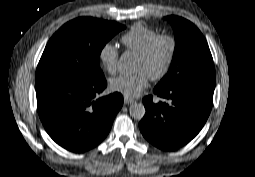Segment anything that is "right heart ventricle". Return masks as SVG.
I'll list each match as a JSON object with an SVG mask.
<instances>
[{"label": "right heart ventricle", "mask_w": 255, "mask_h": 177, "mask_svg": "<svg viewBox=\"0 0 255 177\" xmlns=\"http://www.w3.org/2000/svg\"><path fill=\"white\" fill-rule=\"evenodd\" d=\"M159 34L158 30L150 26L143 23H135L122 35L121 41L128 50L139 55L147 44Z\"/></svg>", "instance_id": "right-heart-ventricle-1"}]
</instances>
